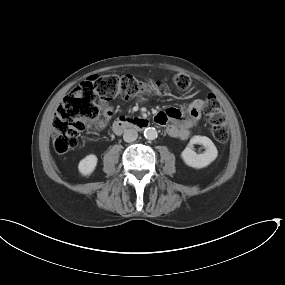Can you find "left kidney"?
Listing matches in <instances>:
<instances>
[{
  "label": "left kidney",
  "mask_w": 285,
  "mask_h": 285,
  "mask_svg": "<svg viewBox=\"0 0 285 285\" xmlns=\"http://www.w3.org/2000/svg\"><path fill=\"white\" fill-rule=\"evenodd\" d=\"M194 144H201L204 146L205 151L197 154L193 150ZM218 155V151L211 139L206 136H193L188 146L182 151L181 157L185 164L193 168H204L213 162Z\"/></svg>",
  "instance_id": "left-kidney-1"
}]
</instances>
